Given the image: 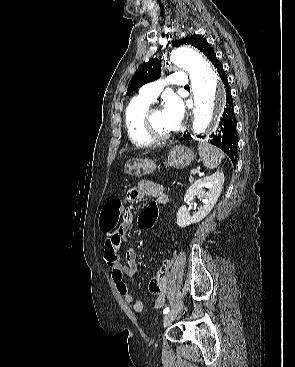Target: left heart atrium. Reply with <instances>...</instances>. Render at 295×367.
Returning <instances> with one entry per match:
<instances>
[{
	"instance_id": "left-heart-atrium-1",
	"label": "left heart atrium",
	"mask_w": 295,
	"mask_h": 367,
	"mask_svg": "<svg viewBox=\"0 0 295 367\" xmlns=\"http://www.w3.org/2000/svg\"><path fill=\"white\" fill-rule=\"evenodd\" d=\"M162 112L168 127L172 131L177 130L185 112L182 100L175 94H169L165 98Z\"/></svg>"
}]
</instances>
